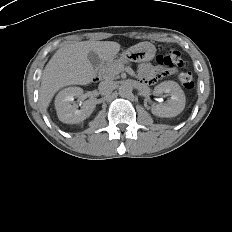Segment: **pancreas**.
Wrapping results in <instances>:
<instances>
[{
    "label": "pancreas",
    "instance_id": "1",
    "mask_svg": "<svg viewBox=\"0 0 232 232\" xmlns=\"http://www.w3.org/2000/svg\"><path fill=\"white\" fill-rule=\"evenodd\" d=\"M128 61L125 59L121 60H114V61H108L103 67H102V75L106 79H115L116 76L124 70L125 64H127Z\"/></svg>",
    "mask_w": 232,
    "mask_h": 232
}]
</instances>
